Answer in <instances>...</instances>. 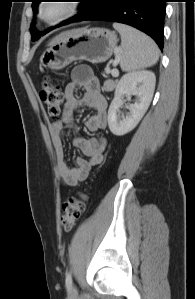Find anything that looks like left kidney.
Returning a JSON list of instances; mask_svg holds the SVG:
<instances>
[{
    "label": "left kidney",
    "mask_w": 195,
    "mask_h": 299,
    "mask_svg": "<svg viewBox=\"0 0 195 299\" xmlns=\"http://www.w3.org/2000/svg\"><path fill=\"white\" fill-rule=\"evenodd\" d=\"M155 74L148 70L133 71L122 76L115 89L114 99L108 110V126L116 136H123L133 130L147 111L155 89ZM124 95H135V103L129 104V113L121 117Z\"/></svg>",
    "instance_id": "left-kidney-1"
}]
</instances>
